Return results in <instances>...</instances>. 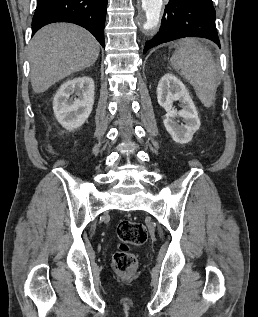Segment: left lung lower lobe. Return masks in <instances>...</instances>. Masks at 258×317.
<instances>
[{"label":"left lung lower lobe","mask_w":258,"mask_h":317,"mask_svg":"<svg viewBox=\"0 0 258 317\" xmlns=\"http://www.w3.org/2000/svg\"><path fill=\"white\" fill-rule=\"evenodd\" d=\"M215 17L212 0H169L160 31L146 42L144 53L154 46L183 37L207 38L220 47Z\"/></svg>","instance_id":"1"}]
</instances>
